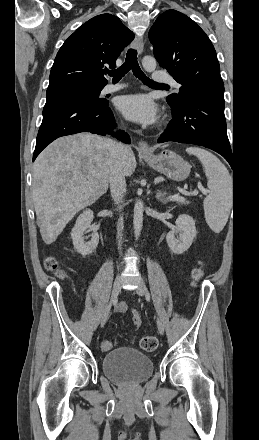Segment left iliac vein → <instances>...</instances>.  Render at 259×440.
<instances>
[{
  "label": "left iliac vein",
  "mask_w": 259,
  "mask_h": 440,
  "mask_svg": "<svg viewBox=\"0 0 259 440\" xmlns=\"http://www.w3.org/2000/svg\"><path fill=\"white\" fill-rule=\"evenodd\" d=\"M135 292L140 296H145L146 295V288L143 284H140L135 289ZM157 328H158L159 333L162 335L164 333V325L159 318H157Z\"/></svg>",
  "instance_id": "left-iliac-vein-1"
}]
</instances>
